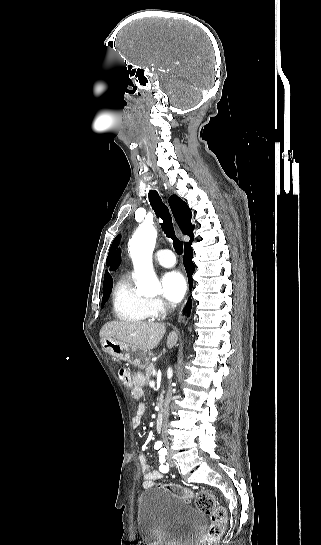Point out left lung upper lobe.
<instances>
[{"label": "left lung upper lobe", "instance_id": "1", "mask_svg": "<svg viewBox=\"0 0 321 545\" xmlns=\"http://www.w3.org/2000/svg\"><path fill=\"white\" fill-rule=\"evenodd\" d=\"M120 260H121V256H120V250H118L116 256H115V259L113 261V264L111 266V269L114 270L117 268V266L119 265L120 263Z\"/></svg>", "mask_w": 321, "mask_h": 545}]
</instances>
